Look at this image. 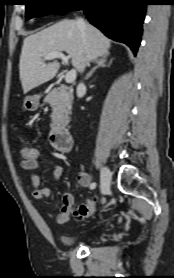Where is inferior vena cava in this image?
Returning <instances> with one entry per match:
<instances>
[{"label": "inferior vena cava", "instance_id": "1", "mask_svg": "<svg viewBox=\"0 0 174 278\" xmlns=\"http://www.w3.org/2000/svg\"><path fill=\"white\" fill-rule=\"evenodd\" d=\"M77 25H78V28L80 29L81 31V37H82V40H83V44L85 45V29H86V24L84 22V20L82 18H79L77 19ZM85 85L83 83H80L77 87L78 90L82 91V90H85Z\"/></svg>", "mask_w": 174, "mask_h": 278}]
</instances>
